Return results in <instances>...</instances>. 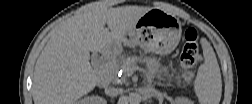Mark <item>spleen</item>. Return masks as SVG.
I'll return each mask as SVG.
<instances>
[{"label": "spleen", "mask_w": 252, "mask_h": 104, "mask_svg": "<svg viewBox=\"0 0 252 104\" xmlns=\"http://www.w3.org/2000/svg\"><path fill=\"white\" fill-rule=\"evenodd\" d=\"M204 63L194 80V91L201 104H218L222 93V79L216 55L206 39L201 40Z\"/></svg>", "instance_id": "3e777b00"}]
</instances>
